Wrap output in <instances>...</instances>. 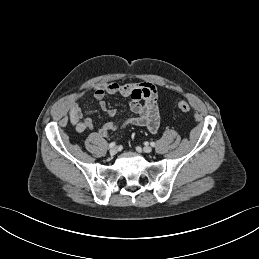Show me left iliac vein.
Returning <instances> with one entry per match:
<instances>
[{"label":"left iliac vein","instance_id":"obj_1","mask_svg":"<svg viewBox=\"0 0 259 259\" xmlns=\"http://www.w3.org/2000/svg\"><path fill=\"white\" fill-rule=\"evenodd\" d=\"M143 150H144L145 153H151L152 152V148L148 145L144 146Z\"/></svg>","mask_w":259,"mask_h":259}]
</instances>
